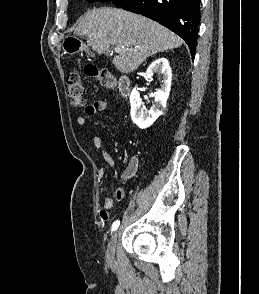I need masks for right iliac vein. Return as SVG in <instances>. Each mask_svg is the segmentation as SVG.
<instances>
[{"label":"right iliac vein","instance_id":"1","mask_svg":"<svg viewBox=\"0 0 259 294\" xmlns=\"http://www.w3.org/2000/svg\"><path fill=\"white\" fill-rule=\"evenodd\" d=\"M118 233L119 230L114 231L108 243L106 256L109 261H112L114 259L115 244L117 241Z\"/></svg>","mask_w":259,"mask_h":294}]
</instances>
